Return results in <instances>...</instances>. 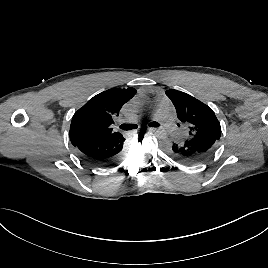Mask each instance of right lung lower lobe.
<instances>
[{
    "label": "right lung lower lobe",
    "instance_id": "right-lung-lower-lobe-1",
    "mask_svg": "<svg viewBox=\"0 0 268 268\" xmlns=\"http://www.w3.org/2000/svg\"><path fill=\"white\" fill-rule=\"evenodd\" d=\"M125 138L122 136L101 141H84L74 145L79 156L98 166H109L122 155Z\"/></svg>",
    "mask_w": 268,
    "mask_h": 268
}]
</instances>
